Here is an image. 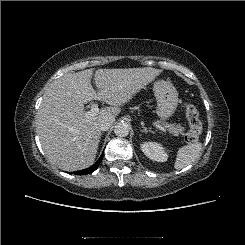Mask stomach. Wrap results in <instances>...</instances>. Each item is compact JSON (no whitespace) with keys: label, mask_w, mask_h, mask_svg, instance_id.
Masks as SVG:
<instances>
[{"label":"stomach","mask_w":245,"mask_h":245,"mask_svg":"<svg viewBox=\"0 0 245 245\" xmlns=\"http://www.w3.org/2000/svg\"><path fill=\"white\" fill-rule=\"evenodd\" d=\"M153 89L157 100V115L161 121H166L176 111L178 92L170 82L164 80L155 82Z\"/></svg>","instance_id":"stomach-1"}]
</instances>
